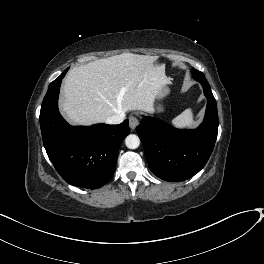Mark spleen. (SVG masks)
Instances as JSON below:
<instances>
[{"label": "spleen", "instance_id": "3e777b00", "mask_svg": "<svg viewBox=\"0 0 264 264\" xmlns=\"http://www.w3.org/2000/svg\"><path fill=\"white\" fill-rule=\"evenodd\" d=\"M172 123L177 128H186L195 126L192 109L188 108L180 115L172 120Z\"/></svg>", "mask_w": 264, "mask_h": 264}]
</instances>
